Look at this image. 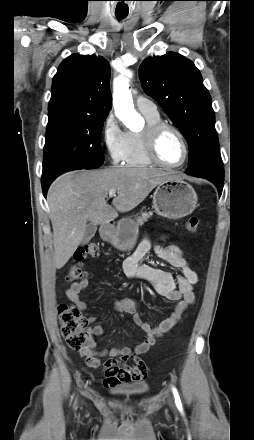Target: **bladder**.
I'll list each match as a JSON object with an SVG mask.
<instances>
[{"label":"bladder","instance_id":"obj_1","mask_svg":"<svg viewBox=\"0 0 254 440\" xmlns=\"http://www.w3.org/2000/svg\"><path fill=\"white\" fill-rule=\"evenodd\" d=\"M148 391H149V385L147 383L140 382L124 387L120 389L118 393L123 395L139 396L146 394Z\"/></svg>","mask_w":254,"mask_h":440}]
</instances>
